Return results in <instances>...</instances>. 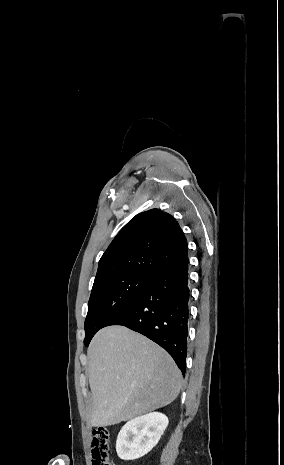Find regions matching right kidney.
<instances>
[{
  "label": "right kidney",
  "instance_id": "1",
  "mask_svg": "<svg viewBox=\"0 0 284 465\" xmlns=\"http://www.w3.org/2000/svg\"><path fill=\"white\" fill-rule=\"evenodd\" d=\"M168 423V417L163 413H148L128 421L117 437L118 457L134 461L147 455L161 439Z\"/></svg>",
  "mask_w": 284,
  "mask_h": 465
}]
</instances>
